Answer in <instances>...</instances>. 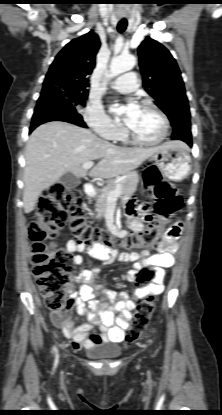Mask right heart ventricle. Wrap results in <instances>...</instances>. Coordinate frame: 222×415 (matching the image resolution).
I'll use <instances>...</instances> for the list:
<instances>
[{"mask_svg": "<svg viewBox=\"0 0 222 415\" xmlns=\"http://www.w3.org/2000/svg\"><path fill=\"white\" fill-rule=\"evenodd\" d=\"M117 139L122 140V141H127L125 135L122 132L119 134V136L117 137Z\"/></svg>", "mask_w": 222, "mask_h": 415, "instance_id": "obj_1", "label": "right heart ventricle"}]
</instances>
